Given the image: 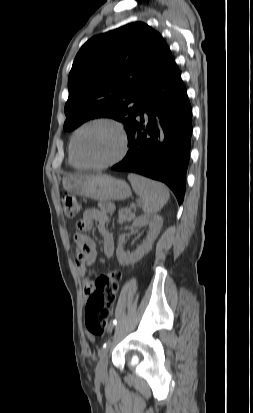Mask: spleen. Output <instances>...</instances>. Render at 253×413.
Here are the masks:
<instances>
[{"mask_svg":"<svg viewBox=\"0 0 253 413\" xmlns=\"http://www.w3.org/2000/svg\"><path fill=\"white\" fill-rule=\"evenodd\" d=\"M128 180L142 199V209L146 214L158 212L170 197L169 190L160 182L133 173L128 175Z\"/></svg>","mask_w":253,"mask_h":413,"instance_id":"spleen-1","label":"spleen"}]
</instances>
